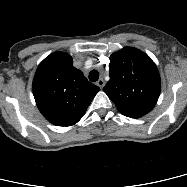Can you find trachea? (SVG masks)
<instances>
[{
	"instance_id": "obj_1",
	"label": "trachea",
	"mask_w": 187,
	"mask_h": 187,
	"mask_svg": "<svg viewBox=\"0 0 187 187\" xmlns=\"http://www.w3.org/2000/svg\"><path fill=\"white\" fill-rule=\"evenodd\" d=\"M98 79H99V73H98V71L97 70H92L89 73V80L91 82H96Z\"/></svg>"
}]
</instances>
